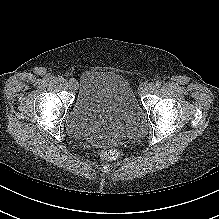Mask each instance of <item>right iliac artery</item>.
<instances>
[{
    "label": "right iliac artery",
    "instance_id": "1",
    "mask_svg": "<svg viewBox=\"0 0 219 219\" xmlns=\"http://www.w3.org/2000/svg\"><path fill=\"white\" fill-rule=\"evenodd\" d=\"M58 80H59L60 82H64V81H65V79H64L62 76H59V77H58Z\"/></svg>",
    "mask_w": 219,
    "mask_h": 219
}]
</instances>
